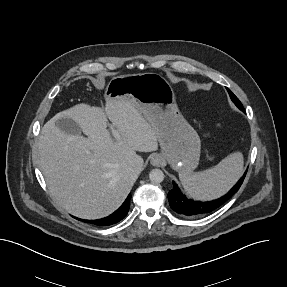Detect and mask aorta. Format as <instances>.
<instances>
[{"mask_svg": "<svg viewBox=\"0 0 287 287\" xmlns=\"http://www.w3.org/2000/svg\"><path fill=\"white\" fill-rule=\"evenodd\" d=\"M164 177V173L160 169H153L149 173V179L152 183H161Z\"/></svg>", "mask_w": 287, "mask_h": 287, "instance_id": "obj_1", "label": "aorta"}]
</instances>
